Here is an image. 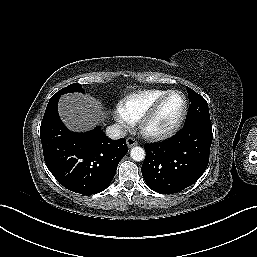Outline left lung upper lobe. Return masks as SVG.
Returning <instances> with one entry per match:
<instances>
[{
	"label": "left lung upper lobe",
	"instance_id": "obj_1",
	"mask_svg": "<svg viewBox=\"0 0 257 257\" xmlns=\"http://www.w3.org/2000/svg\"><path fill=\"white\" fill-rule=\"evenodd\" d=\"M189 97V110L185 120V125L193 123H202L211 125L209 108L206 100L192 90L189 87H186Z\"/></svg>",
	"mask_w": 257,
	"mask_h": 257
}]
</instances>
